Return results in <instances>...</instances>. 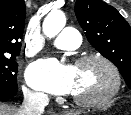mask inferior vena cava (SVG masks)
<instances>
[{
    "mask_svg": "<svg viewBox=\"0 0 131 115\" xmlns=\"http://www.w3.org/2000/svg\"><path fill=\"white\" fill-rule=\"evenodd\" d=\"M48 103L49 98L47 95L25 91L24 101L19 109V115H42Z\"/></svg>",
    "mask_w": 131,
    "mask_h": 115,
    "instance_id": "1",
    "label": "inferior vena cava"
}]
</instances>
